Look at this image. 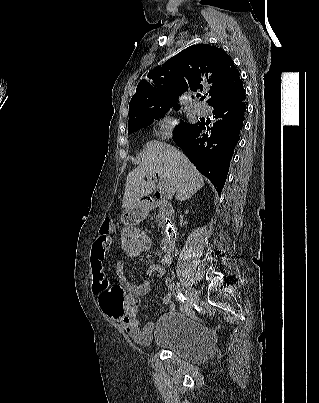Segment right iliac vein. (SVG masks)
I'll return each mask as SVG.
<instances>
[{
  "instance_id": "right-iliac-vein-1",
  "label": "right iliac vein",
  "mask_w": 319,
  "mask_h": 403,
  "mask_svg": "<svg viewBox=\"0 0 319 403\" xmlns=\"http://www.w3.org/2000/svg\"><path fill=\"white\" fill-rule=\"evenodd\" d=\"M186 295L191 305H195L199 299L198 292L191 287L186 288Z\"/></svg>"
}]
</instances>
